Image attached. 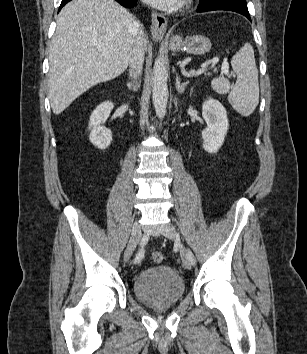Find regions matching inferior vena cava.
Segmentation results:
<instances>
[{
    "mask_svg": "<svg viewBox=\"0 0 307 354\" xmlns=\"http://www.w3.org/2000/svg\"><path fill=\"white\" fill-rule=\"evenodd\" d=\"M145 41V35L140 27V24L138 23V38L133 48L129 69L130 76L136 79L139 75H141L143 68ZM133 90H137V87H134Z\"/></svg>",
    "mask_w": 307,
    "mask_h": 354,
    "instance_id": "inferior-vena-cava-1",
    "label": "inferior vena cava"
}]
</instances>
